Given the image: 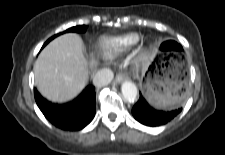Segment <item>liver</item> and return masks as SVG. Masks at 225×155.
Returning <instances> with one entry per match:
<instances>
[{
	"label": "liver",
	"instance_id": "1",
	"mask_svg": "<svg viewBox=\"0 0 225 155\" xmlns=\"http://www.w3.org/2000/svg\"><path fill=\"white\" fill-rule=\"evenodd\" d=\"M34 71L37 89L48 100L66 102L78 96L88 83L81 38L75 33L55 38L38 56Z\"/></svg>",
	"mask_w": 225,
	"mask_h": 155
}]
</instances>
